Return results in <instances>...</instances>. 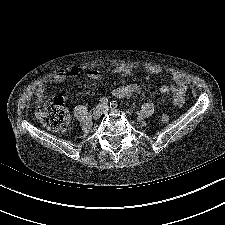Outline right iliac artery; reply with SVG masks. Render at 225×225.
Returning <instances> with one entry per match:
<instances>
[{
    "label": "right iliac artery",
    "instance_id": "right-iliac-artery-1",
    "mask_svg": "<svg viewBox=\"0 0 225 225\" xmlns=\"http://www.w3.org/2000/svg\"><path fill=\"white\" fill-rule=\"evenodd\" d=\"M100 104H101L102 106H106V105L108 104V98L102 97V98L100 99Z\"/></svg>",
    "mask_w": 225,
    "mask_h": 225
}]
</instances>
